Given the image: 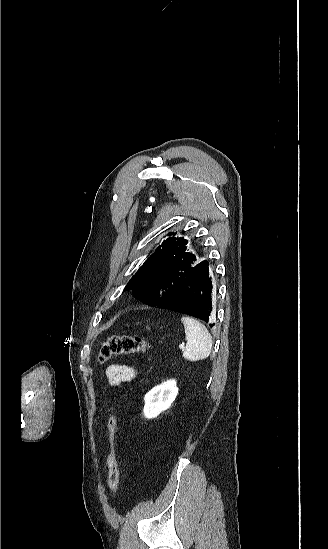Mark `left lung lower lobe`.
Masks as SVG:
<instances>
[{
  "label": "left lung lower lobe",
  "instance_id": "0a47b994",
  "mask_svg": "<svg viewBox=\"0 0 328 549\" xmlns=\"http://www.w3.org/2000/svg\"><path fill=\"white\" fill-rule=\"evenodd\" d=\"M208 266L209 264L205 260L194 266L179 280L170 297L158 301L152 306L190 315L206 323L212 321L214 289ZM213 325L210 323V327Z\"/></svg>",
  "mask_w": 328,
  "mask_h": 549
}]
</instances>
